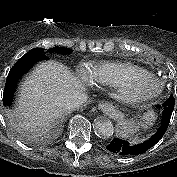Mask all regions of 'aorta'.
<instances>
[{
    "label": "aorta",
    "instance_id": "1",
    "mask_svg": "<svg viewBox=\"0 0 177 177\" xmlns=\"http://www.w3.org/2000/svg\"><path fill=\"white\" fill-rule=\"evenodd\" d=\"M97 134L104 138H109L113 136L114 126L112 122L107 118H100L95 121L94 124Z\"/></svg>",
    "mask_w": 177,
    "mask_h": 177
}]
</instances>
